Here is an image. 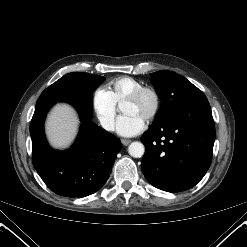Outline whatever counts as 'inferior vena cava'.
I'll return each instance as SVG.
<instances>
[{"instance_id":"1","label":"inferior vena cava","mask_w":247,"mask_h":247,"mask_svg":"<svg viewBox=\"0 0 247 247\" xmlns=\"http://www.w3.org/2000/svg\"><path fill=\"white\" fill-rule=\"evenodd\" d=\"M102 127L107 131H114V119L113 118H102L100 120Z\"/></svg>"}]
</instances>
